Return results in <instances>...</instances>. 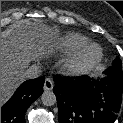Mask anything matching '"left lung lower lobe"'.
Segmentation results:
<instances>
[{
	"instance_id": "1",
	"label": "left lung lower lobe",
	"mask_w": 123,
	"mask_h": 123,
	"mask_svg": "<svg viewBox=\"0 0 123 123\" xmlns=\"http://www.w3.org/2000/svg\"><path fill=\"white\" fill-rule=\"evenodd\" d=\"M59 123H114L120 111L123 81L109 76L54 77Z\"/></svg>"
}]
</instances>
